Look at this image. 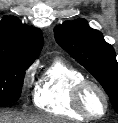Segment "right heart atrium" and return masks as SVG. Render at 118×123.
<instances>
[{
    "label": "right heart atrium",
    "mask_w": 118,
    "mask_h": 123,
    "mask_svg": "<svg viewBox=\"0 0 118 123\" xmlns=\"http://www.w3.org/2000/svg\"><path fill=\"white\" fill-rule=\"evenodd\" d=\"M33 74H34L33 66H30L29 68L26 69V71L24 73V77H23V83L25 85L30 83V81L32 80Z\"/></svg>",
    "instance_id": "1"
}]
</instances>
